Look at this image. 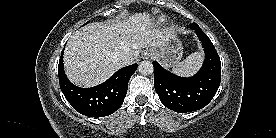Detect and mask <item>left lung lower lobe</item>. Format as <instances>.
Listing matches in <instances>:
<instances>
[{"instance_id": "obj_1", "label": "left lung lower lobe", "mask_w": 276, "mask_h": 138, "mask_svg": "<svg viewBox=\"0 0 276 138\" xmlns=\"http://www.w3.org/2000/svg\"><path fill=\"white\" fill-rule=\"evenodd\" d=\"M205 52V60L192 77H180L153 61L154 88L167 108L186 113L205 107L215 96L221 81V62L209 37L198 25L194 28Z\"/></svg>"}]
</instances>
